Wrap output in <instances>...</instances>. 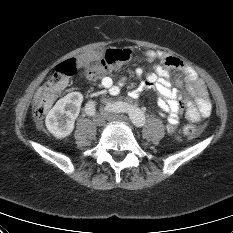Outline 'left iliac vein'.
<instances>
[{"instance_id": "4c4485c4", "label": "left iliac vein", "mask_w": 233, "mask_h": 233, "mask_svg": "<svg viewBox=\"0 0 233 233\" xmlns=\"http://www.w3.org/2000/svg\"><path fill=\"white\" fill-rule=\"evenodd\" d=\"M102 114L106 117L108 121L124 123L128 122V118L125 115L112 113L106 108L102 110Z\"/></svg>"}]
</instances>
